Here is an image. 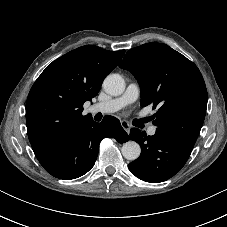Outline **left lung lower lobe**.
Listing matches in <instances>:
<instances>
[{
    "mask_svg": "<svg viewBox=\"0 0 227 227\" xmlns=\"http://www.w3.org/2000/svg\"><path fill=\"white\" fill-rule=\"evenodd\" d=\"M130 138L141 146V155L128 168L136 177L150 183L166 181L178 173L193 149L164 131L156 130L153 136H147L145 131L132 128Z\"/></svg>",
    "mask_w": 227,
    "mask_h": 227,
    "instance_id": "obj_1",
    "label": "left lung lower lobe"
}]
</instances>
